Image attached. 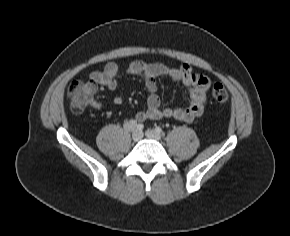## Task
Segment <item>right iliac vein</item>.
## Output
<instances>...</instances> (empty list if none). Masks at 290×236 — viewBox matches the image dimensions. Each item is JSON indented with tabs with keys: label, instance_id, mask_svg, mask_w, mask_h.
<instances>
[{
	"label": "right iliac vein",
	"instance_id": "right-iliac-vein-1",
	"mask_svg": "<svg viewBox=\"0 0 290 236\" xmlns=\"http://www.w3.org/2000/svg\"><path fill=\"white\" fill-rule=\"evenodd\" d=\"M141 137H142V134H141V132L138 131V130H135V131L133 132V134H132V140H133L134 142L139 141V140L141 139Z\"/></svg>",
	"mask_w": 290,
	"mask_h": 236
}]
</instances>
